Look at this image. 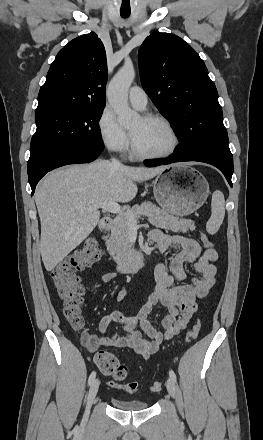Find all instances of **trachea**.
Here are the masks:
<instances>
[{"instance_id": "3493384b", "label": "trachea", "mask_w": 263, "mask_h": 440, "mask_svg": "<svg viewBox=\"0 0 263 440\" xmlns=\"http://www.w3.org/2000/svg\"><path fill=\"white\" fill-rule=\"evenodd\" d=\"M120 15L123 17V18H126V17H129V15H130V11L129 12H120Z\"/></svg>"}]
</instances>
